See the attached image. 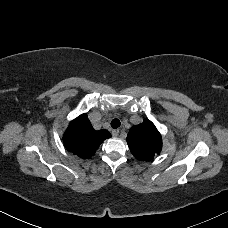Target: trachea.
I'll return each mask as SVG.
<instances>
[{"instance_id":"3493384b","label":"trachea","mask_w":228,"mask_h":228,"mask_svg":"<svg viewBox=\"0 0 228 228\" xmlns=\"http://www.w3.org/2000/svg\"><path fill=\"white\" fill-rule=\"evenodd\" d=\"M121 125V122L118 118H114L112 121H111V127L116 129V128H119Z\"/></svg>"}]
</instances>
